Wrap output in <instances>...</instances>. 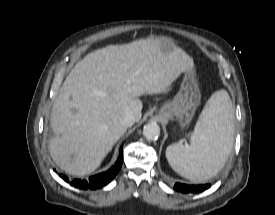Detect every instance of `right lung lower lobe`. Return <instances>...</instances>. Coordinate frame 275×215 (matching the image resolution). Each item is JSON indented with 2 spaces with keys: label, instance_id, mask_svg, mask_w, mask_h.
Returning a JSON list of instances; mask_svg holds the SVG:
<instances>
[{
  "label": "right lung lower lobe",
  "instance_id": "obj_1",
  "mask_svg": "<svg viewBox=\"0 0 275 215\" xmlns=\"http://www.w3.org/2000/svg\"><path fill=\"white\" fill-rule=\"evenodd\" d=\"M123 161L122 147L120 148L119 157L114 166H112L108 171L97 174L89 178V180L75 179L71 182V185L80 189H91L95 190L101 188L108 184L111 180L115 178L119 172ZM62 179L68 182V178L65 175H61Z\"/></svg>",
  "mask_w": 275,
  "mask_h": 215
}]
</instances>
